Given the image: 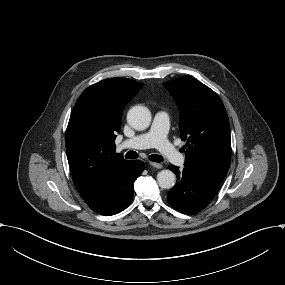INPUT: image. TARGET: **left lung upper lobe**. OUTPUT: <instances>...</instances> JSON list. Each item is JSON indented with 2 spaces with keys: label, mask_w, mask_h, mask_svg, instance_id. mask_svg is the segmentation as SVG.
Returning <instances> with one entry per match:
<instances>
[{
  "label": "left lung upper lobe",
  "mask_w": 285,
  "mask_h": 285,
  "mask_svg": "<svg viewBox=\"0 0 285 285\" xmlns=\"http://www.w3.org/2000/svg\"><path fill=\"white\" fill-rule=\"evenodd\" d=\"M180 111V138L186 142V169L221 184L231 162L228 116L219 96L191 77L163 83Z\"/></svg>",
  "instance_id": "1"
}]
</instances>
